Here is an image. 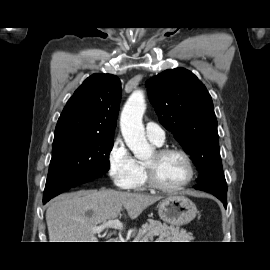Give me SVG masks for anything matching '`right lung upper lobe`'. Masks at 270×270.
Returning a JSON list of instances; mask_svg holds the SVG:
<instances>
[{
  "mask_svg": "<svg viewBox=\"0 0 270 270\" xmlns=\"http://www.w3.org/2000/svg\"><path fill=\"white\" fill-rule=\"evenodd\" d=\"M121 100V82L111 74H93L64 107L55 134L114 136Z\"/></svg>",
  "mask_w": 270,
  "mask_h": 270,
  "instance_id": "right-lung-upper-lobe-1",
  "label": "right lung upper lobe"
}]
</instances>
